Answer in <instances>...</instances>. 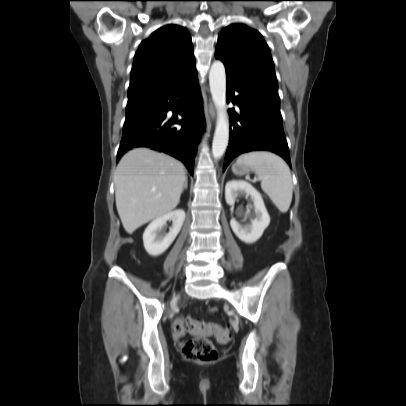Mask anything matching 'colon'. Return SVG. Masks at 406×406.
Wrapping results in <instances>:
<instances>
[{
  "instance_id": "1",
  "label": "colon",
  "mask_w": 406,
  "mask_h": 406,
  "mask_svg": "<svg viewBox=\"0 0 406 406\" xmlns=\"http://www.w3.org/2000/svg\"><path fill=\"white\" fill-rule=\"evenodd\" d=\"M174 331L178 336L196 335L182 345L183 356L196 363L213 362L218 357L215 347L204 335L214 334L217 341L222 344L228 343L230 340L229 333L218 324L199 321L191 317H179L174 324Z\"/></svg>"
}]
</instances>
